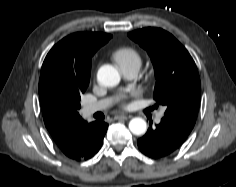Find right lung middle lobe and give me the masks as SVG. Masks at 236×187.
I'll return each mask as SVG.
<instances>
[{"mask_svg": "<svg viewBox=\"0 0 236 187\" xmlns=\"http://www.w3.org/2000/svg\"><path fill=\"white\" fill-rule=\"evenodd\" d=\"M89 82L80 83L59 74L51 75L46 82V94L49 101L69 111H77L80 106L81 94Z\"/></svg>", "mask_w": 236, "mask_h": 187, "instance_id": "1", "label": "right lung middle lobe"}]
</instances>
